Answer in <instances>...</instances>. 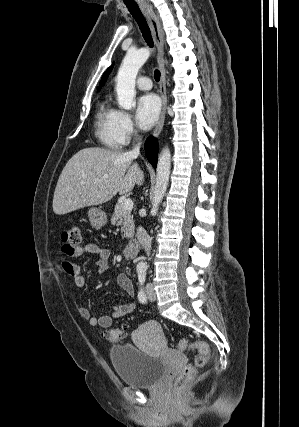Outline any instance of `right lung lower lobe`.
Here are the masks:
<instances>
[{"instance_id": "98d812e1", "label": "right lung lower lobe", "mask_w": 299, "mask_h": 427, "mask_svg": "<svg viewBox=\"0 0 299 427\" xmlns=\"http://www.w3.org/2000/svg\"><path fill=\"white\" fill-rule=\"evenodd\" d=\"M145 151L146 157L149 162L156 167L157 164V153H158V144L154 137L150 136L145 142Z\"/></svg>"}]
</instances>
